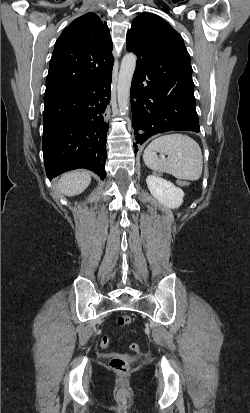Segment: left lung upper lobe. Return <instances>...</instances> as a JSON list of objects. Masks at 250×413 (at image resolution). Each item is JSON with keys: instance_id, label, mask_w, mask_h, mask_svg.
<instances>
[{"instance_id": "obj_1", "label": "left lung upper lobe", "mask_w": 250, "mask_h": 413, "mask_svg": "<svg viewBox=\"0 0 250 413\" xmlns=\"http://www.w3.org/2000/svg\"><path fill=\"white\" fill-rule=\"evenodd\" d=\"M128 51L137 52L154 76H169L178 82L192 81L190 55L181 35L165 20L151 13L137 16L127 32Z\"/></svg>"}]
</instances>
